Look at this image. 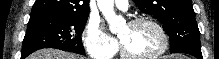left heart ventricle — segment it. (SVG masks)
I'll list each match as a JSON object with an SVG mask.
<instances>
[{"label": "left heart ventricle", "mask_w": 219, "mask_h": 59, "mask_svg": "<svg viewBox=\"0 0 219 59\" xmlns=\"http://www.w3.org/2000/svg\"><path fill=\"white\" fill-rule=\"evenodd\" d=\"M118 36L124 47L137 56H146L158 50L161 38L158 32L148 24L123 26Z\"/></svg>", "instance_id": "b2bd125f"}]
</instances>
